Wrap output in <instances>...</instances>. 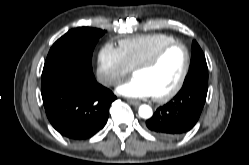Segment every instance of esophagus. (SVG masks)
<instances>
[{
	"mask_svg": "<svg viewBox=\"0 0 249 165\" xmlns=\"http://www.w3.org/2000/svg\"><path fill=\"white\" fill-rule=\"evenodd\" d=\"M128 102L133 106H139L140 102L132 99H128Z\"/></svg>",
	"mask_w": 249,
	"mask_h": 165,
	"instance_id": "1",
	"label": "esophagus"
}]
</instances>
